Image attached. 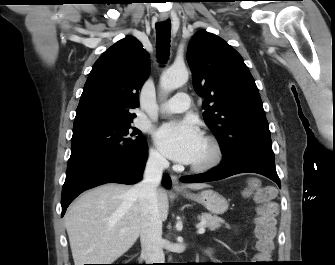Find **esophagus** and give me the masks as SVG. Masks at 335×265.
Here are the masks:
<instances>
[{
  "mask_svg": "<svg viewBox=\"0 0 335 265\" xmlns=\"http://www.w3.org/2000/svg\"><path fill=\"white\" fill-rule=\"evenodd\" d=\"M161 21H166L169 18V15L167 13H161L159 16ZM172 183H173V188L175 191H183V187L179 184L178 178L175 175H172Z\"/></svg>",
  "mask_w": 335,
  "mask_h": 265,
  "instance_id": "1",
  "label": "esophagus"
}]
</instances>
